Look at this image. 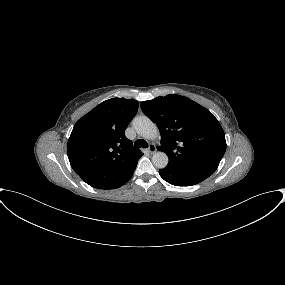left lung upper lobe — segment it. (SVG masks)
I'll return each mask as SVG.
<instances>
[{"label":"left lung upper lobe","instance_id":"1","mask_svg":"<svg viewBox=\"0 0 285 285\" xmlns=\"http://www.w3.org/2000/svg\"><path fill=\"white\" fill-rule=\"evenodd\" d=\"M141 109L160 130L159 149L168 155V167L210 174L216 171L226 151V140L210 111L176 94L143 101Z\"/></svg>","mask_w":285,"mask_h":285}]
</instances>
